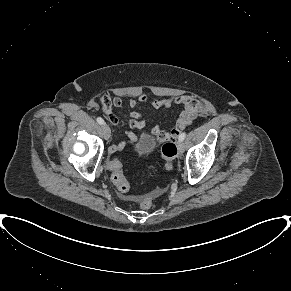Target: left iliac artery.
I'll return each mask as SVG.
<instances>
[{
  "instance_id": "left-iliac-artery-1",
  "label": "left iliac artery",
  "mask_w": 291,
  "mask_h": 291,
  "mask_svg": "<svg viewBox=\"0 0 291 291\" xmlns=\"http://www.w3.org/2000/svg\"><path fill=\"white\" fill-rule=\"evenodd\" d=\"M186 137V132H183L182 134H180L179 136V141H183Z\"/></svg>"
}]
</instances>
